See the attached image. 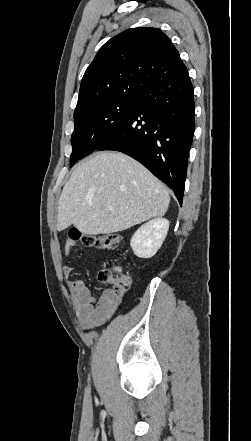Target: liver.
I'll return each mask as SVG.
<instances>
[{"label": "liver", "mask_w": 251, "mask_h": 441, "mask_svg": "<svg viewBox=\"0 0 251 441\" xmlns=\"http://www.w3.org/2000/svg\"><path fill=\"white\" fill-rule=\"evenodd\" d=\"M166 187L143 165L119 152L96 153L76 167L58 203L57 230L83 234L126 230L169 206Z\"/></svg>", "instance_id": "6515ba94"}]
</instances>
